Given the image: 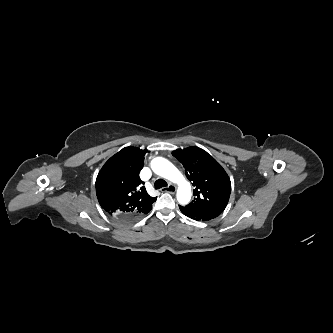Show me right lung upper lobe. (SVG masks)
<instances>
[{"label":"right lung upper lobe","mask_w":333,"mask_h":333,"mask_svg":"<svg viewBox=\"0 0 333 333\" xmlns=\"http://www.w3.org/2000/svg\"><path fill=\"white\" fill-rule=\"evenodd\" d=\"M146 151L125 147L100 170L96 179V195L100 206L110 216H140L152 209L156 198L148 195L139 177Z\"/></svg>","instance_id":"obj_1"}]
</instances>
